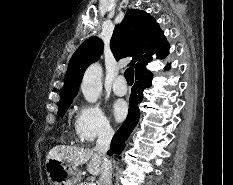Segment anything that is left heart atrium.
Wrapping results in <instances>:
<instances>
[{"label":"left heart atrium","instance_id":"39dd6f15","mask_svg":"<svg viewBox=\"0 0 233 185\" xmlns=\"http://www.w3.org/2000/svg\"><path fill=\"white\" fill-rule=\"evenodd\" d=\"M112 112L116 120H122L127 114V105L123 100H117L112 106Z\"/></svg>","mask_w":233,"mask_h":185}]
</instances>
